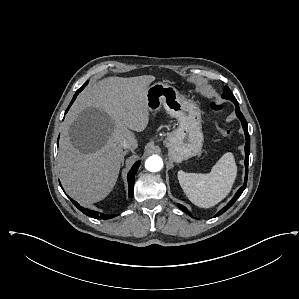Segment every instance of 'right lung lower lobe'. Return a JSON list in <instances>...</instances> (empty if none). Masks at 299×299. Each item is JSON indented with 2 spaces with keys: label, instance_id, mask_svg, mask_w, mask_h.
I'll return each instance as SVG.
<instances>
[{
  "label": "right lung lower lobe",
  "instance_id": "1",
  "mask_svg": "<svg viewBox=\"0 0 299 299\" xmlns=\"http://www.w3.org/2000/svg\"><path fill=\"white\" fill-rule=\"evenodd\" d=\"M84 87H81L80 89L77 90V92L75 93L70 105L68 106L66 112L68 111V109L70 108V106L72 105V103L74 102V100L76 99L77 95L83 90ZM65 112V113H66ZM140 166V161H137L133 167L131 168V170L128 173V184H129V196H132L133 194V185H134V178H135V174L138 170ZM70 200L72 201V203L80 210L82 211L84 214L92 217V218H97V219H110L115 217L116 215H107V214H103V213H99L96 211H91L88 209H85L83 207H81L76 201H73V199L70 198Z\"/></svg>",
  "mask_w": 299,
  "mask_h": 299
}]
</instances>
